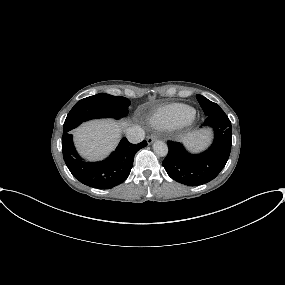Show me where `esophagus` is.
Returning a JSON list of instances; mask_svg holds the SVG:
<instances>
[{
    "instance_id": "obj_1",
    "label": "esophagus",
    "mask_w": 285,
    "mask_h": 285,
    "mask_svg": "<svg viewBox=\"0 0 285 285\" xmlns=\"http://www.w3.org/2000/svg\"><path fill=\"white\" fill-rule=\"evenodd\" d=\"M157 139V136L152 134L147 138L148 145L152 144Z\"/></svg>"
}]
</instances>
